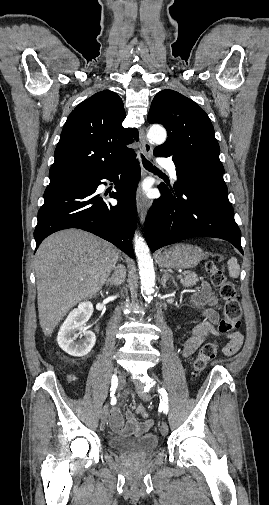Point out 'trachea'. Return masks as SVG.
<instances>
[{
    "instance_id": "1",
    "label": "trachea",
    "mask_w": 269,
    "mask_h": 505,
    "mask_svg": "<svg viewBox=\"0 0 269 505\" xmlns=\"http://www.w3.org/2000/svg\"><path fill=\"white\" fill-rule=\"evenodd\" d=\"M142 157V163H143V166L148 169V170H151V171H159L155 166H153L147 159H145V157L143 155H141Z\"/></svg>"
}]
</instances>
